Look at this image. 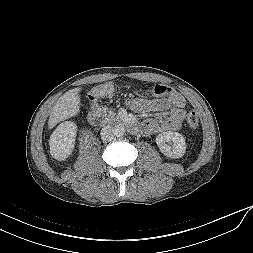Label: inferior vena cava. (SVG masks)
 <instances>
[{"label":"inferior vena cava","instance_id":"602c4592","mask_svg":"<svg viewBox=\"0 0 253 253\" xmlns=\"http://www.w3.org/2000/svg\"><path fill=\"white\" fill-rule=\"evenodd\" d=\"M100 134L103 141H106V142L112 141L115 137L114 127L107 125L102 128Z\"/></svg>","mask_w":253,"mask_h":253}]
</instances>
